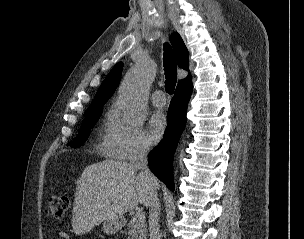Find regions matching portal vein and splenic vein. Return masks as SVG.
<instances>
[{"label": "portal vein and splenic vein", "mask_w": 304, "mask_h": 239, "mask_svg": "<svg viewBox=\"0 0 304 239\" xmlns=\"http://www.w3.org/2000/svg\"><path fill=\"white\" fill-rule=\"evenodd\" d=\"M145 214L143 212H137L134 220L144 221Z\"/></svg>", "instance_id": "1"}]
</instances>
